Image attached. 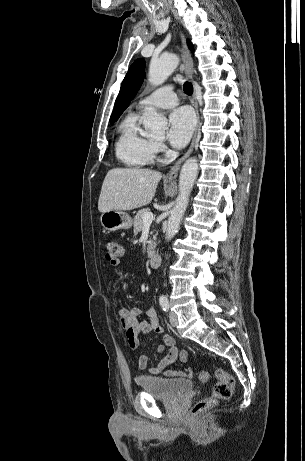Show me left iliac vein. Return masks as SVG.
I'll use <instances>...</instances> for the list:
<instances>
[{
  "label": "left iliac vein",
  "mask_w": 305,
  "mask_h": 461,
  "mask_svg": "<svg viewBox=\"0 0 305 461\" xmlns=\"http://www.w3.org/2000/svg\"><path fill=\"white\" fill-rule=\"evenodd\" d=\"M169 318H170V323L173 327H176L178 325V318L177 314L173 311L169 313Z\"/></svg>",
  "instance_id": "obj_1"
}]
</instances>
